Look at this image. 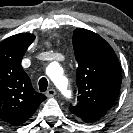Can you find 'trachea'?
Returning a JSON list of instances; mask_svg holds the SVG:
<instances>
[{"label":"trachea","instance_id":"obj_1","mask_svg":"<svg viewBox=\"0 0 133 133\" xmlns=\"http://www.w3.org/2000/svg\"><path fill=\"white\" fill-rule=\"evenodd\" d=\"M47 87H48V81L46 78H41L39 80V89L41 92H45L47 90Z\"/></svg>","mask_w":133,"mask_h":133}]
</instances>
